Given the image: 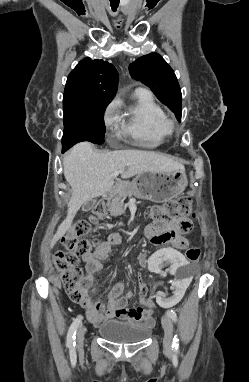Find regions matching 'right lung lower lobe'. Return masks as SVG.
Instances as JSON below:
<instances>
[{"mask_svg": "<svg viewBox=\"0 0 249 382\" xmlns=\"http://www.w3.org/2000/svg\"><path fill=\"white\" fill-rule=\"evenodd\" d=\"M64 151H66V150L62 149V152H64Z\"/></svg>", "mask_w": 249, "mask_h": 382, "instance_id": "obj_1", "label": "right lung lower lobe"}]
</instances>
